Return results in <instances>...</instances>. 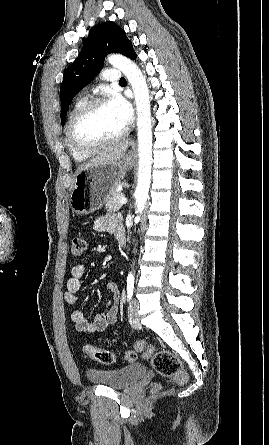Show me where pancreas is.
<instances>
[{"label":"pancreas","mask_w":269,"mask_h":445,"mask_svg":"<svg viewBox=\"0 0 269 445\" xmlns=\"http://www.w3.org/2000/svg\"><path fill=\"white\" fill-rule=\"evenodd\" d=\"M122 197H124L122 192L117 189L112 190L106 201V209L111 212L118 211L122 207V204L120 203Z\"/></svg>","instance_id":"pancreas-1"}]
</instances>
